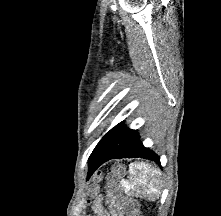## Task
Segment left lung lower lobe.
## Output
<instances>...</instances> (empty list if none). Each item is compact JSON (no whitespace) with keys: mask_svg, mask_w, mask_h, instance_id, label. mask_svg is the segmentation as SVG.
<instances>
[{"mask_svg":"<svg viewBox=\"0 0 221 216\" xmlns=\"http://www.w3.org/2000/svg\"><path fill=\"white\" fill-rule=\"evenodd\" d=\"M134 157L150 159L160 165L159 157L152 150L143 146L139 141V134L137 133V135L120 152L114 153L111 150L103 148L93 150L89 157L88 178L100 165L108 160L114 158L121 159Z\"/></svg>","mask_w":221,"mask_h":216,"instance_id":"0a47b994","label":"left lung lower lobe"}]
</instances>
